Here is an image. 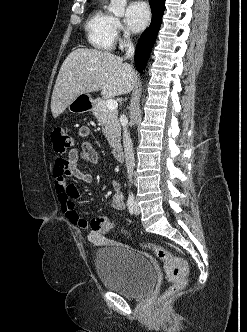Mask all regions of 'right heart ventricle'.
Returning <instances> with one entry per match:
<instances>
[{
    "instance_id": "1",
    "label": "right heart ventricle",
    "mask_w": 247,
    "mask_h": 332,
    "mask_svg": "<svg viewBox=\"0 0 247 332\" xmlns=\"http://www.w3.org/2000/svg\"><path fill=\"white\" fill-rule=\"evenodd\" d=\"M115 18L101 6H97L89 15L85 30L88 42L101 51H110L115 43Z\"/></svg>"
}]
</instances>
